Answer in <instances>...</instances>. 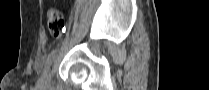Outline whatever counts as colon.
<instances>
[{
	"mask_svg": "<svg viewBox=\"0 0 209 90\" xmlns=\"http://www.w3.org/2000/svg\"><path fill=\"white\" fill-rule=\"evenodd\" d=\"M47 23L49 31L53 36H61L65 28V17L60 10L50 9L47 13Z\"/></svg>",
	"mask_w": 209,
	"mask_h": 90,
	"instance_id": "5ec220e1",
	"label": "colon"
}]
</instances>
